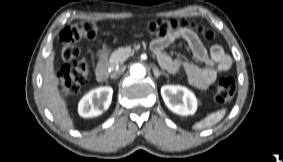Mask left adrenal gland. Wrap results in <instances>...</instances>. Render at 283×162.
Returning a JSON list of instances; mask_svg holds the SVG:
<instances>
[{
	"instance_id": "a2214340",
	"label": "left adrenal gland",
	"mask_w": 283,
	"mask_h": 162,
	"mask_svg": "<svg viewBox=\"0 0 283 162\" xmlns=\"http://www.w3.org/2000/svg\"><path fill=\"white\" fill-rule=\"evenodd\" d=\"M153 72H154L156 79H158L160 75H165L166 77H168V74H166L165 72L159 71L156 66L153 67Z\"/></svg>"
}]
</instances>
